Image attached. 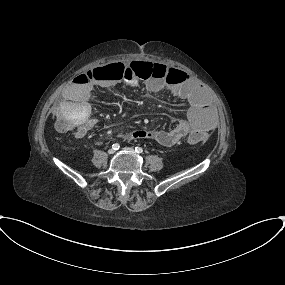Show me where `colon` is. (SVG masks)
Returning a JSON list of instances; mask_svg holds the SVG:
<instances>
[{"label": "colon", "instance_id": "colon-1", "mask_svg": "<svg viewBox=\"0 0 285 285\" xmlns=\"http://www.w3.org/2000/svg\"><path fill=\"white\" fill-rule=\"evenodd\" d=\"M109 69L114 70L119 76L124 73V66L118 63L109 65ZM130 75H134L138 79L148 81L151 79L160 80L166 84H177L186 80V73L183 71L168 68L167 66L159 63H150L146 61H134L128 67ZM77 81L80 83H90L92 79H100L103 77L100 71H86L80 72ZM57 124L59 129L63 131H71L77 128V121L67 115H60L57 119ZM208 139L206 133L202 131L195 130L191 132L187 141L189 143H204Z\"/></svg>", "mask_w": 285, "mask_h": 285}]
</instances>
